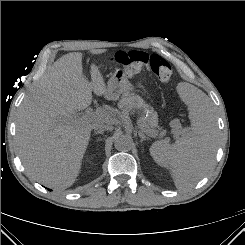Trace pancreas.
Here are the masks:
<instances>
[{"instance_id": "pancreas-1", "label": "pancreas", "mask_w": 245, "mask_h": 245, "mask_svg": "<svg viewBox=\"0 0 245 245\" xmlns=\"http://www.w3.org/2000/svg\"><path fill=\"white\" fill-rule=\"evenodd\" d=\"M118 107L120 109L124 110H131L133 108L139 110V112L144 116L148 115V117L145 120V125L149 131V134L151 136L157 135V129H159L158 126V115L154 111L153 107L146 104L144 100L133 93H127L124 95V97L120 100ZM173 127L175 128L176 134L179 132V128L177 127L176 123H173Z\"/></svg>"}]
</instances>
